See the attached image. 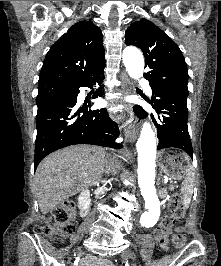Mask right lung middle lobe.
Masks as SVG:
<instances>
[{
  "label": "right lung middle lobe",
  "mask_w": 221,
  "mask_h": 266,
  "mask_svg": "<svg viewBox=\"0 0 221 266\" xmlns=\"http://www.w3.org/2000/svg\"><path fill=\"white\" fill-rule=\"evenodd\" d=\"M72 87H65V86H59V85H47L38 87V96L36 98L37 106H40L47 102L49 99L63 94L67 91H69Z\"/></svg>",
  "instance_id": "dd1d6c3e"
}]
</instances>
